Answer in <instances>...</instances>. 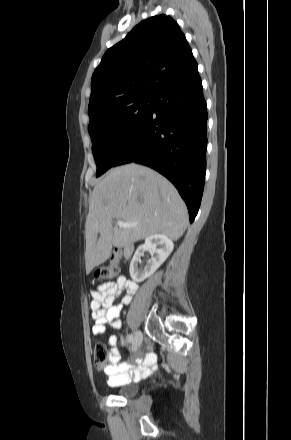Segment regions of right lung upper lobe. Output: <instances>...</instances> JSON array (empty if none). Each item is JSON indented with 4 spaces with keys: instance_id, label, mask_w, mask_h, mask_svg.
<instances>
[{
    "instance_id": "obj_1",
    "label": "right lung upper lobe",
    "mask_w": 291,
    "mask_h": 440,
    "mask_svg": "<svg viewBox=\"0 0 291 440\" xmlns=\"http://www.w3.org/2000/svg\"><path fill=\"white\" fill-rule=\"evenodd\" d=\"M196 67L176 21L164 14L143 20L104 54L92 76L88 109L135 96H155Z\"/></svg>"
}]
</instances>
